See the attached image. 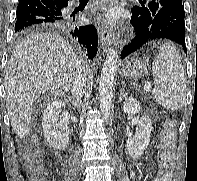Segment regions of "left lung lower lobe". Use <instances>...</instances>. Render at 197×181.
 <instances>
[{
    "instance_id": "obj_1",
    "label": "left lung lower lobe",
    "mask_w": 197,
    "mask_h": 181,
    "mask_svg": "<svg viewBox=\"0 0 197 181\" xmlns=\"http://www.w3.org/2000/svg\"><path fill=\"white\" fill-rule=\"evenodd\" d=\"M185 11L182 2L161 7L148 23L131 19L136 32L132 42L123 48L121 58L139 50L144 44L155 39H169L179 44L187 54L185 44Z\"/></svg>"
}]
</instances>
